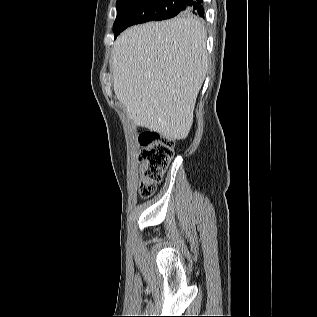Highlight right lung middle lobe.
Masks as SVG:
<instances>
[{"label":"right lung middle lobe","mask_w":317,"mask_h":317,"mask_svg":"<svg viewBox=\"0 0 317 317\" xmlns=\"http://www.w3.org/2000/svg\"><path fill=\"white\" fill-rule=\"evenodd\" d=\"M178 0H117V17L114 22L115 38L129 26L152 20H164L176 15L193 17L181 12Z\"/></svg>","instance_id":"right-lung-middle-lobe-1"}]
</instances>
